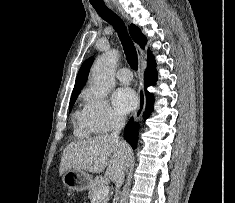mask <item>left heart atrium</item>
Instances as JSON below:
<instances>
[{
  "instance_id": "left-heart-atrium-1",
  "label": "left heart atrium",
  "mask_w": 235,
  "mask_h": 203,
  "mask_svg": "<svg viewBox=\"0 0 235 203\" xmlns=\"http://www.w3.org/2000/svg\"><path fill=\"white\" fill-rule=\"evenodd\" d=\"M112 101L115 109L121 114H127L137 106V96L128 87H121L114 91Z\"/></svg>"
}]
</instances>
